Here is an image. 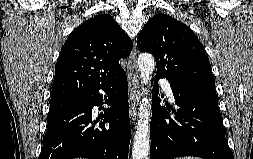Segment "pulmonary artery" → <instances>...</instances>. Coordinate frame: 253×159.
<instances>
[{"mask_svg": "<svg viewBox=\"0 0 253 159\" xmlns=\"http://www.w3.org/2000/svg\"><path fill=\"white\" fill-rule=\"evenodd\" d=\"M159 82H160L164 92L166 93V95L170 99V101H174V95H173V92H172L170 82L166 79H161V80H159Z\"/></svg>", "mask_w": 253, "mask_h": 159, "instance_id": "obj_1", "label": "pulmonary artery"}]
</instances>
